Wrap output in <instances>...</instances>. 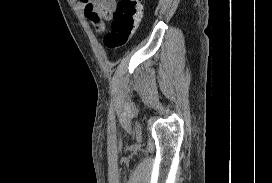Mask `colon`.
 I'll return each instance as SVG.
<instances>
[{
	"mask_svg": "<svg viewBox=\"0 0 272 183\" xmlns=\"http://www.w3.org/2000/svg\"><path fill=\"white\" fill-rule=\"evenodd\" d=\"M144 14L140 0H119L114 13L111 30L105 37L110 49H118L128 43L138 29Z\"/></svg>",
	"mask_w": 272,
	"mask_h": 183,
	"instance_id": "obj_1",
	"label": "colon"
}]
</instances>
